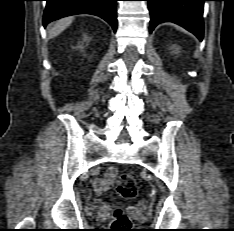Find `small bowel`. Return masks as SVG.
Instances as JSON below:
<instances>
[{
  "mask_svg": "<svg viewBox=\"0 0 234 231\" xmlns=\"http://www.w3.org/2000/svg\"><path fill=\"white\" fill-rule=\"evenodd\" d=\"M116 174V170L114 168H110L106 171L104 177L96 179L93 183L95 193L101 194L110 189L113 185Z\"/></svg>",
  "mask_w": 234,
  "mask_h": 231,
  "instance_id": "obj_1",
  "label": "small bowel"
}]
</instances>
